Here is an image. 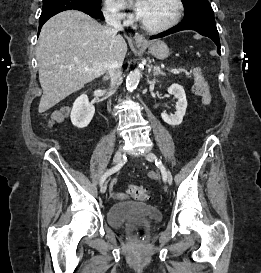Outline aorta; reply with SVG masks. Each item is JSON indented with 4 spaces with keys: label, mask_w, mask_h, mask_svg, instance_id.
<instances>
[{
    "label": "aorta",
    "mask_w": 261,
    "mask_h": 273,
    "mask_svg": "<svg viewBox=\"0 0 261 273\" xmlns=\"http://www.w3.org/2000/svg\"><path fill=\"white\" fill-rule=\"evenodd\" d=\"M141 78V71L140 69H134L129 73L126 79V87L129 90H133L137 87Z\"/></svg>",
    "instance_id": "obj_1"
}]
</instances>
